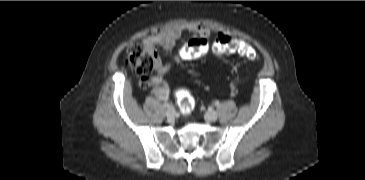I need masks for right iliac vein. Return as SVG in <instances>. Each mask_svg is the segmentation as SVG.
<instances>
[{
  "label": "right iliac vein",
  "instance_id": "1",
  "mask_svg": "<svg viewBox=\"0 0 365 180\" xmlns=\"http://www.w3.org/2000/svg\"><path fill=\"white\" fill-rule=\"evenodd\" d=\"M166 114L169 118L173 117L175 115V109L172 106H168L166 110Z\"/></svg>",
  "mask_w": 365,
  "mask_h": 180
}]
</instances>
